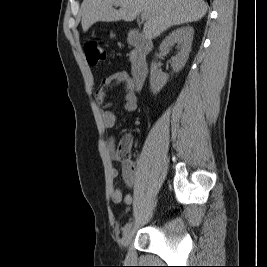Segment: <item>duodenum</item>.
I'll return each instance as SVG.
<instances>
[{
  "mask_svg": "<svg viewBox=\"0 0 267 267\" xmlns=\"http://www.w3.org/2000/svg\"><path fill=\"white\" fill-rule=\"evenodd\" d=\"M128 43L134 48V58L131 63V73L135 86L140 89L148 74L147 55L152 50V43L137 30H130L127 35Z\"/></svg>",
  "mask_w": 267,
  "mask_h": 267,
  "instance_id": "410a0bca",
  "label": "duodenum"
}]
</instances>
